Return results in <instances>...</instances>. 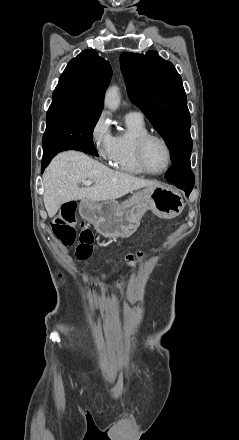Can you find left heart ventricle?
Here are the masks:
<instances>
[{
  "label": "left heart ventricle",
  "mask_w": 239,
  "mask_h": 440,
  "mask_svg": "<svg viewBox=\"0 0 239 440\" xmlns=\"http://www.w3.org/2000/svg\"><path fill=\"white\" fill-rule=\"evenodd\" d=\"M145 160L151 171H163L168 164V154L164 144L159 140L149 141L145 149Z\"/></svg>",
  "instance_id": "left-heart-ventricle-1"
}]
</instances>
